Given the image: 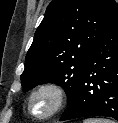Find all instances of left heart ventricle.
I'll return each mask as SVG.
<instances>
[{"label": "left heart ventricle", "mask_w": 118, "mask_h": 123, "mask_svg": "<svg viewBox=\"0 0 118 123\" xmlns=\"http://www.w3.org/2000/svg\"><path fill=\"white\" fill-rule=\"evenodd\" d=\"M52 104V96L50 94H42L33 100L32 109L36 114L42 115L50 111Z\"/></svg>", "instance_id": "b2bd125f"}]
</instances>
